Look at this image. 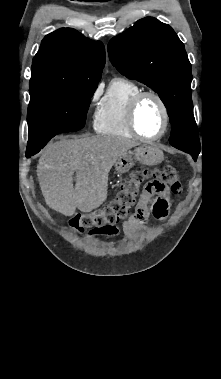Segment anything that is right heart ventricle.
Returning <instances> with one entry per match:
<instances>
[{
    "label": "right heart ventricle",
    "mask_w": 221,
    "mask_h": 379,
    "mask_svg": "<svg viewBox=\"0 0 221 379\" xmlns=\"http://www.w3.org/2000/svg\"><path fill=\"white\" fill-rule=\"evenodd\" d=\"M141 92L140 87L126 78L113 79L103 96L94 117L97 133L123 138H133L127 121V109L132 98Z\"/></svg>",
    "instance_id": "obj_1"
}]
</instances>
